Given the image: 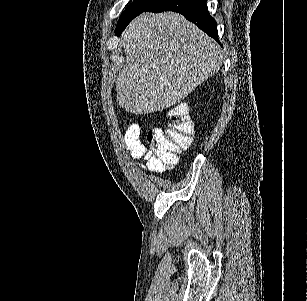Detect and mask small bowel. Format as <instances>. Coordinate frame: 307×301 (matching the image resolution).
I'll return each mask as SVG.
<instances>
[{
  "label": "small bowel",
  "mask_w": 307,
  "mask_h": 301,
  "mask_svg": "<svg viewBox=\"0 0 307 301\" xmlns=\"http://www.w3.org/2000/svg\"><path fill=\"white\" fill-rule=\"evenodd\" d=\"M124 144L127 151L134 159H143L144 163H139L143 170L152 173H162L165 171V166L160 159L143 143L141 139V127L137 123L129 125L123 131Z\"/></svg>",
  "instance_id": "small-bowel-1"
}]
</instances>
